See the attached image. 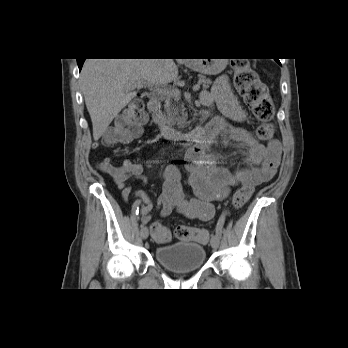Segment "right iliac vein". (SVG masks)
I'll return each instance as SVG.
<instances>
[{"mask_svg":"<svg viewBox=\"0 0 348 348\" xmlns=\"http://www.w3.org/2000/svg\"><path fill=\"white\" fill-rule=\"evenodd\" d=\"M140 235H141V238L142 239H147L148 238V236H149V230H148V228L147 227H142L141 228V231H140Z\"/></svg>","mask_w":348,"mask_h":348,"instance_id":"63e3f726","label":"right iliac vein"}]
</instances>
